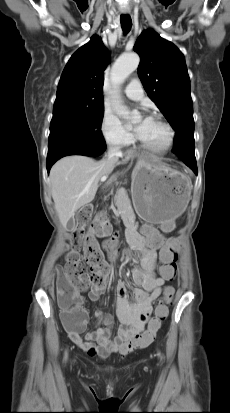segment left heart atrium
I'll use <instances>...</instances> for the list:
<instances>
[{"label": "left heart atrium", "mask_w": 230, "mask_h": 413, "mask_svg": "<svg viewBox=\"0 0 230 413\" xmlns=\"http://www.w3.org/2000/svg\"><path fill=\"white\" fill-rule=\"evenodd\" d=\"M151 119L149 117H144L141 122L137 125L135 129V133L138 137L142 135V133L145 131L147 126L149 125Z\"/></svg>", "instance_id": "obj_1"}]
</instances>
